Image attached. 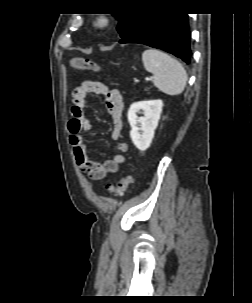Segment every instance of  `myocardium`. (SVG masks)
Wrapping results in <instances>:
<instances>
[{"label":"myocardium","mask_w":252,"mask_h":303,"mask_svg":"<svg viewBox=\"0 0 252 303\" xmlns=\"http://www.w3.org/2000/svg\"><path fill=\"white\" fill-rule=\"evenodd\" d=\"M93 24L95 27L99 29L106 28L110 24V19L106 17L105 15H97L93 19Z\"/></svg>","instance_id":"obj_1"}]
</instances>
